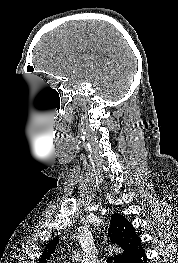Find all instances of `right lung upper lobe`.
<instances>
[{"instance_id":"right-lung-upper-lobe-1","label":"right lung upper lobe","mask_w":178,"mask_h":263,"mask_svg":"<svg viewBox=\"0 0 178 263\" xmlns=\"http://www.w3.org/2000/svg\"><path fill=\"white\" fill-rule=\"evenodd\" d=\"M108 234L111 242L121 251L114 256V263H129L143 250L140 238L132 224L123 215H112ZM58 243L59 238L55 237L46 245L39 263H46L50 259Z\"/></svg>"}]
</instances>
